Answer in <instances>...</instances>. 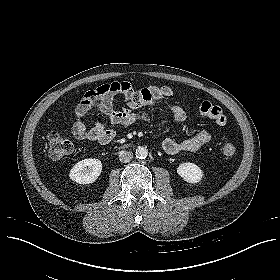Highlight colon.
<instances>
[{
  "label": "colon",
  "mask_w": 280,
  "mask_h": 280,
  "mask_svg": "<svg viewBox=\"0 0 280 280\" xmlns=\"http://www.w3.org/2000/svg\"><path fill=\"white\" fill-rule=\"evenodd\" d=\"M112 90L118 92L121 91L116 87H113ZM138 95V91L134 90L133 88L124 90L121 94L125 100L135 99L138 97ZM200 113L204 117L213 120L219 126H225L227 124V116L223 113L219 106L205 102L200 106ZM93 134L100 136L103 143H107L112 139V134L109 132V130L102 129ZM47 142L49 157L53 159L63 158L73 152V144L70 142V140L60 135L57 131H52L48 134ZM235 150L236 148L233 143H226L222 149L223 156L226 159H230L234 156Z\"/></svg>",
  "instance_id": "5ec220e1"
}]
</instances>
